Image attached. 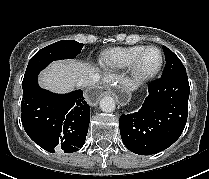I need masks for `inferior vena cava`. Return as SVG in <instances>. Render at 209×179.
<instances>
[{
  "label": "inferior vena cava",
  "mask_w": 209,
  "mask_h": 179,
  "mask_svg": "<svg viewBox=\"0 0 209 179\" xmlns=\"http://www.w3.org/2000/svg\"><path fill=\"white\" fill-rule=\"evenodd\" d=\"M99 81V75L98 74H89L83 78H81L77 86H82V87H90L95 85Z\"/></svg>",
  "instance_id": "inferior-vena-cava-1"
}]
</instances>
